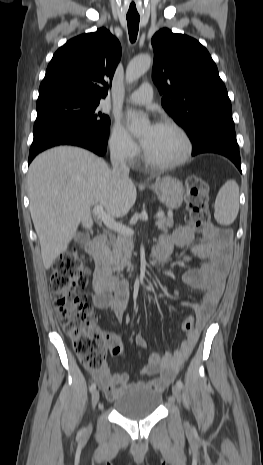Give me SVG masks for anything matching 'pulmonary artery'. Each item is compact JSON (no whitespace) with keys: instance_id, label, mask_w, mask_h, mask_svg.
I'll use <instances>...</instances> for the list:
<instances>
[{"instance_id":"1","label":"pulmonary artery","mask_w":263,"mask_h":465,"mask_svg":"<svg viewBox=\"0 0 263 465\" xmlns=\"http://www.w3.org/2000/svg\"><path fill=\"white\" fill-rule=\"evenodd\" d=\"M153 99V88L149 83H143L137 90L130 94L128 101L136 105H145Z\"/></svg>"}]
</instances>
